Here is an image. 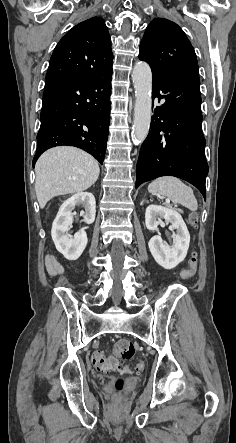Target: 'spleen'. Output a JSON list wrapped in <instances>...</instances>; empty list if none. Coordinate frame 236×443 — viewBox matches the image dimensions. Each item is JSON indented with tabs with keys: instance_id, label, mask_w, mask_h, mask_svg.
I'll return each instance as SVG.
<instances>
[{
	"instance_id": "1",
	"label": "spleen",
	"mask_w": 236,
	"mask_h": 443,
	"mask_svg": "<svg viewBox=\"0 0 236 443\" xmlns=\"http://www.w3.org/2000/svg\"><path fill=\"white\" fill-rule=\"evenodd\" d=\"M148 191L156 196H166L173 203L181 204L191 211H196L198 208L193 190L178 178L172 176L157 178L149 184Z\"/></svg>"
}]
</instances>
